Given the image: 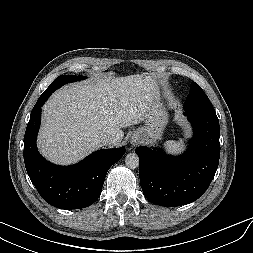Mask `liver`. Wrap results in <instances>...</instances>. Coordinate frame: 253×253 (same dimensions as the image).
<instances>
[{
	"label": "liver",
	"mask_w": 253,
	"mask_h": 253,
	"mask_svg": "<svg viewBox=\"0 0 253 253\" xmlns=\"http://www.w3.org/2000/svg\"><path fill=\"white\" fill-rule=\"evenodd\" d=\"M158 84L152 76L100 77L65 86L43 106L38 146L53 163H76L102 147V134L121 143V128L146 119Z\"/></svg>",
	"instance_id": "6515ba94"
}]
</instances>
